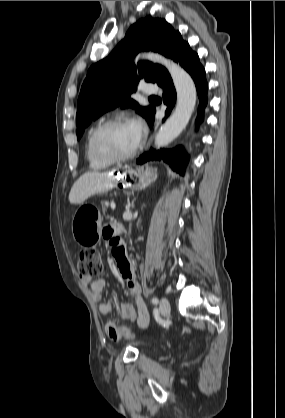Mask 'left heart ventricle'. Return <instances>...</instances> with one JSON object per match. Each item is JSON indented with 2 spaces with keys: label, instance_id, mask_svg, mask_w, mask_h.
<instances>
[{
  "label": "left heart ventricle",
  "instance_id": "1",
  "mask_svg": "<svg viewBox=\"0 0 285 418\" xmlns=\"http://www.w3.org/2000/svg\"><path fill=\"white\" fill-rule=\"evenodd\" d=\"M99 145L115 155H124L130 152L136 141L127 125L106 129L98 139Z\"/></svg>",
  "mask_w": 285,
  "mask_h": 418
}]
</instances>
